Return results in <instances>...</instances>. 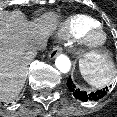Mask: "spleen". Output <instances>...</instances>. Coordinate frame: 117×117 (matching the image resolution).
<instances>
[{"mask_svg":"<svg viewBox=\"0 0 117 117\" xmlns=\"http://www.w3.org/2000/svg\"><path fill=\"white\" fill-rule=\"evenodd\" d=\"M80 72L86 82L96 88H103L112 80L114 65L110 57L90 51L79 60Z\"/></svg>","mask_w":117,"mask_h":117,"instance_id":"spleen-1","label":"spleen"}]
</instances>
